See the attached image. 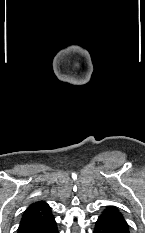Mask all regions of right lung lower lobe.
Listing matches in <instances>:
<instances>
[{"label":"right lung lower lobe","instance_id":"1","mask_svg":"<svg viewBox=\"0 0 145 233\" xmlns=\"http://www.w3.org/2000/svg\"><path fill=\"white\" fill-rule=\"evenodd\" d=\"M29 233H58L57 224L54 217Z\"/></svg>","mask_w":145,"mask_h":233}]
</instances>
